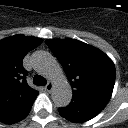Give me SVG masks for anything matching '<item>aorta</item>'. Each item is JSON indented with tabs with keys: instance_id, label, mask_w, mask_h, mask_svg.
Instances as JSON below:
<instances>
[{
	"instance_id": "aorta-1",
	"label": "aorta",
	"mask_w": 128,
	"mask_h": 128,
	"mask_svg": "<svg viewBox=\"0 0 128 128\" xmlns=\"http://www.w3.org/2000/svg\"><path fill=\"white\" fill-rule=\"evenodd\" d=\"M36 70L49 77L54 83L53 102L57 107H66L72 99V90L62 68L48 52L37 51L32 55Z\"/></svg>"
}]
</instances>
